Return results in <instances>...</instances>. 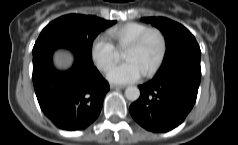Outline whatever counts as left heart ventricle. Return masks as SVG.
<instances>
[{"mask_svg":"<svg viewBox=\"0 0 238 145\" xmlns=\"http://www.w3.org/2000/svg\"><path fill=\"white\" fill-rule=\"evenodd\" d=\"M160 40L158 36L151 35L138 49H125L124 59L134 61L145 73L158 57Z\"/></svg>","mask_w":238,"mask_h":145,"instance_id":"obj_1","label":"left heart ventricle"}]
</instances>
